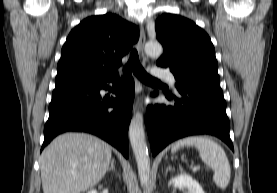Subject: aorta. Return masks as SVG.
<instances>
[{
  "label": "aorta",
  "mask_w": 277,
  "mask_h": 193,
  "mask_svg": "<svg viewBox=\"0 0 277 193\" xmlns=\"http://www.w3.org/2000/svg\"><path fill=\"white\" fill-rule=\"evenodd\" d=\"M145 52L152 57L162 54V45L158 42H149L145 45ZM129 139L136 158L140 183L146 185L150 174V159L143 126V116L136 113L133 116L129 127Z\"/></svg>",
  "instance_id": "obj_1"
}]
</instances>
